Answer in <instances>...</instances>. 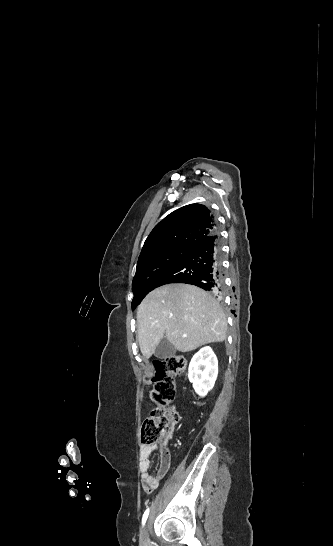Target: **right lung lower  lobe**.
<instances>
[{
  "mask_svg": "<svg viewBox=\"0 0 333 546\" xmlns=\"http://www.w3.org/2000/svg\"><path fill=\"white\" fill-rule=\"evenodd\" d=\"M221 240L215 230L201 239L157 283L156 287L169 283H186L219 294L223 284L221 269Z\"/></svg>",
  "mask_w": 333,
  "mask_h": 546,
  "instance_id": "obj_1",
  "label": "right lung lower lobe"
}]
</instances>
